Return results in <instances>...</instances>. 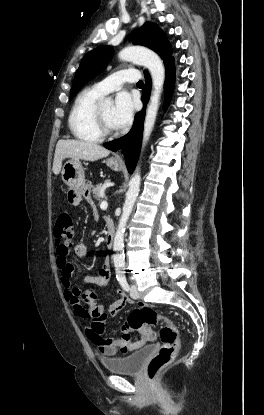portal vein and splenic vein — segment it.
Instances as JSON below:
<instances>
[{
    "instance_id": "portal-vein-and-splenic-vein-1",
    "label": "portal vein and splenic vein",
    "mask_w": 264,
    "mask_h": 415,
    "mask_svg": "<svg viewBox=\"0 0 264 415\" xmlns=\"http://www.w3.org/2000/svg\"><path fill=\"white\" fill-rule=\"evenodd\" d=\"M108 207V203H107V201L106 200H103L102 202H101V204H100V208L102 209V210H104V209H106Z\"/></svg>"
}]
</instances>
